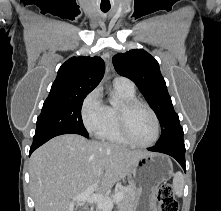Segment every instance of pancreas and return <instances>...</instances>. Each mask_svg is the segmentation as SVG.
<instances>
[{"label": "pancreas", "mask_w": 221, "mask_h": 211, "mask_svg": "<svg viewBox=\"0 0 221 211\" xmlns=\"http://www.w3.org/2000/svg\"><path fill=\"white\" fill-rule=\"evenodd\" d=\"M118 192L123 193V199L119 202L118 206L120 211H134L136 192L133 186L120 189ZM96 211H104L101 208H97Z\"/></svg>", "instance_id": "obj_1"}]
</instances>
